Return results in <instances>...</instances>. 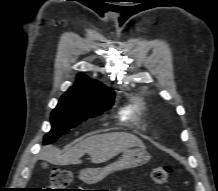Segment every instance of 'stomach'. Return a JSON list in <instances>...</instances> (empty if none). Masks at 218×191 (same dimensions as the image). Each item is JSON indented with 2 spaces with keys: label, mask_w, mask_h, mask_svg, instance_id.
I'll list each match as a JSON object with an SVG mask.
<instances>
[{
  "label": "stomach",
  "mask_w": 218,
  "mask_h": 191,
  "mask_svg": "<svg viewBox=\"0 0 218 191\" xmlns=\"http://www.w3.org/2000/svg\"><path fill=\"white\" fill-rule=\"evenodd\" d=\"M149 160V154L143 149L126 150L123 152L122 157L112 164L82 170L80 179L89 184L97 183L116 170L134 168L147 163Z\"/></svg>",
  "instance_id": "stomach-1"
}]
</instances>
